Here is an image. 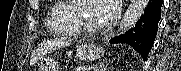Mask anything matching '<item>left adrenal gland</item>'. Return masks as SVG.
<instances>
[{"mask_svg": "<svg viewBox=\"0 0 181 71\" xmlns=\"http://www.w3.org/2000/svg\"><path fill=\"white\" fill-rule=\"evenodd\" d=\"M104 69H105V66L103 63L99 64L98 66L93 67V71H103Z\"/></svg>", "mask_w": 181, "mask_h": 71, "instance_id": "left-adrenal-gland-1", "label": "left adrenal gland"}]
</instances>
